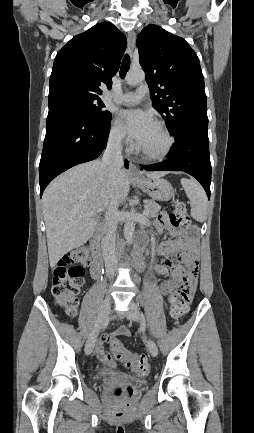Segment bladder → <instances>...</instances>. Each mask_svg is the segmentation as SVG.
Returning a JSON list of instances; mask_svg holds the SVG:
<instances>
[{
  "instance_id": "31cf9c89",
  "label": "bladder",
  "mask_w": 254,
  "mask_h": 433,
  "mask_svg": "<svg viewBox=\"0 0 254 433\" xmlns=\"http://www.w3.org/2000/svg\"><path fill=\"white\" fill-rule=\"evenodd\" d=\"M97 379H98V380L102 379V375H99V376L97 377Z\"/></svg>"
}]
</instances>
